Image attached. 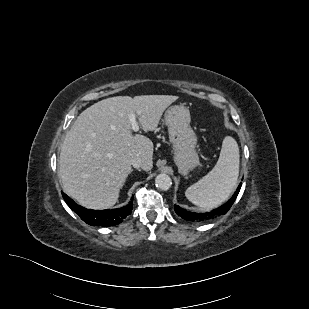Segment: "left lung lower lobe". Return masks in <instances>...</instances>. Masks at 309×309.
<instances>
[{"label":"left lung lower lobe","mask_w":309,"mask_h":309,"mask_svg":"<svg viewBox=\"0 0 309 309\" xmlns=\"http://www.w3.org/2000/svg\"><path fill=\"white\" fill-rule=\"evenodd\" d=\"M242 186V183H240V185L238 186L236 192L234 193L233 197L224 205H222L221 207L211 211V212H206V213H194V212H189L177 205L174 206V210L176 212V214L178 216H180L181 218H183L186 221L189 222H193V223H204V222H208L210 220H213L215 218H217L220 215L226 214L228 212V210L231 208V206L233 205L234 201L236 200L240 188Z\"/></svg>","instance_id":"left-lung-lower-lobe-1"}]
</instances>
